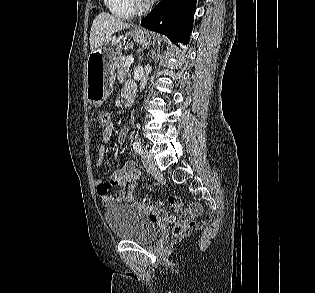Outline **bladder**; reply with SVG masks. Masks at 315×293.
I'll return each mask as SVG.
<instances>
[{
	"instance_id": "1",
	"label": "bladder",
	"mask_w": 315,
	"mask_h": 293,
	"mask_svg": "<svg viewBox=\"0 0 315 293\" xmlns=\"http://www.w3.org/2000/svg\"><path fill=\"white\" fill-rule=\"evenodd\" d=\"M106 222L116 239L141 244L153 242L159 229L146 212L134 205H114L105 212Z\"/></svg>"
}]
</instances>
